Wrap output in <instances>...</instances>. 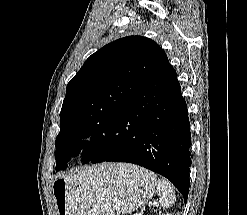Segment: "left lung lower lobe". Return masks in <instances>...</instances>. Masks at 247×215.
Masks as SVG:
<instances>
[{
  "instance_id": "0a47b994",
  "label": "left lung lower lobe",
  "mask_w": 247,
  "mask_h": 215,
  "mask_svg": "<svg viewBox=\"0 0 247 215\" xmlns=\"http://www.w3.org/2000/svg\"><path fill=\"white\" fill-rule=\"evenodd\" d=\"M190 145L187 105L176 71L166 56L107 133L103 147L82 161L143 166L169 179L186 202Z\"/></svg>"
}]
</instances>
